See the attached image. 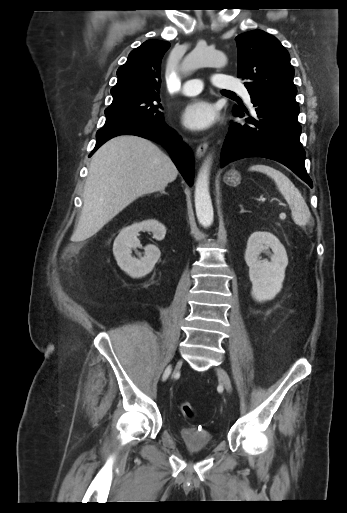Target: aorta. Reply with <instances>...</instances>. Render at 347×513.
Masks as SVG:
<instances>
[{
	"mask_svg": "<svg viewBox=\"0 0 347 513\" xmlns=\"http://www.w3.org/2000/svg\"><path fill=\"white\" fill-rule=\"evenodd\" d=\"M227 64V58L220 51H212L203 44H198L196 48L189 53L181 64L183 73L202 68V67H224ZM212 163V157L208 156L204 161L195 184V208L198 221L204 227H209L213 223V206L209 192V175Z\"/></svg>",
	"mask_w": 347,
	"mask_h": 513,
	"instance_id": "762f6f07",
	"label": "aorta"
}]
</instances>
